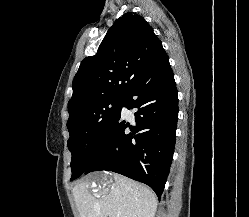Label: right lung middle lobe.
I'll list each match as a JSON object with an SVG mask.
<instances>
[{
    "label": "right lung middle lobe",
    "instance_id": "right-lung-middle-lobe-1",
    "mask_svg": "<svg viewBox=\"0 0 249 217\" xmlns=\"http://www.w3.org/2000/svg\"><path fill=\"white\" fill-rule=\"evenodd\" d=\"M125 97L104 98L86 104L69 114L67 145L72 154L71 180L84 172L86 158L120 115Z\"/></svg>",
    "mask_w": 249,
    "mask_h": 217
}]
</instances>
